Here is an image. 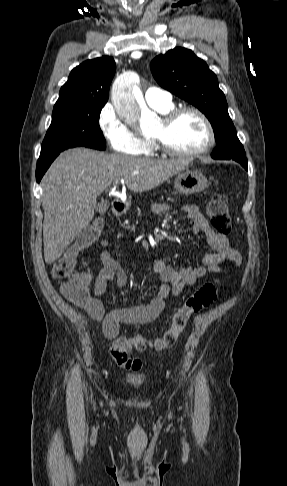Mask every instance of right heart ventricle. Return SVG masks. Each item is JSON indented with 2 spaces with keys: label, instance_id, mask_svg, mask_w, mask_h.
Here are the masks:
<instances>
[{
  "label": "right heart ventricle",
  "instance_id": "right-heart-ventricle-1",
  "mask_svg": "<svg viewBox=\"0 0 287 486\" xmlns=\"http://www.w3.org/2000/svg\"><path fill=\"white\" fill-rule=\"evenodd\" d=\"M173 108L172 104L164 108H155L158 112L165 114ZM156 152V147L149 138L142 139V148L138 154L151 156Z\"/></svg>",
  "mask_w": 287,
  "mask_h": 486
}]
</instances>
